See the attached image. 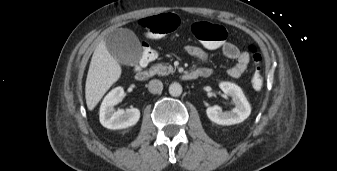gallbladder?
I'll return each instance as SVG.
<instances>
[{
    "mask_svg": "<svg viewBox=\"0 0 337 171\" xmlns=\"http://www.w3.org/2000/svg\"><path fill=\"white\" fill-rule=\"evenodd\" d=\"M110 54L120 63L134 65L141 57L139 40L130 30L117 29L105 38Z\"/></svg>",
    "mask_w": 337,
    "mask_h": 171,
    "instance_id": "1",
    "label": "gallbladder"
}]
</instances>
